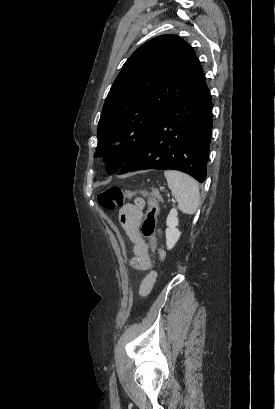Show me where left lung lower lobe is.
<instances>
[{"label":"left lung lower lobe","mask_w":275,"mask_h":409,"mask_svg":"<svg viewBox=\"0 0 275 409\" xmlns=\"http://www.w3.org/2000/svg\"><path fill=\"white\" fill-rule=\"evenodd\" d=\"M212 130V98L203 80L156 122L118 174L174 169L206 179Z\"/></svg>","instance_id":"left-lung-lower-lobe-1"}]
</instances>
